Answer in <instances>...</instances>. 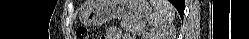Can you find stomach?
<instances>
[{"mask_svg":"<svg viewBox=\"0 0 249 39\" xmlns=\"http://www.w3.org/2000/svg\"><path fill=\"white\" fill-rule=\"evenodd\" d=\"M150 10L147 0H96L83 12L80 21L90 27L116 18L144 21Z\"/></svg>","mask_w":249,"mask_h":39,"instance_id":"1","label":"stomach"}]
</instances>
